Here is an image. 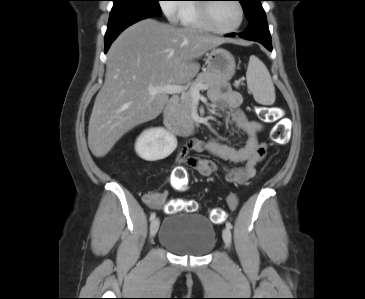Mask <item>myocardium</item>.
<instances>
[{
  "mask_svg": "<svg viewBox=\"0 0 365 299\" xmlns=\"http://www.w3.org/2000/svg\"><path fill=\"white\" fill-rule=\"evenodd\" d=\"M204 1H213V0H204ZM234 2L237 4V6L239 8L240 19L236 26H234L232 28H226V29L218 28L213 25V19H212V15H211V8L213 5L212 2H204L203 4L199 5L201 20L208 31H211V32L217 33V34H230V33L236 32L237 30H239L241 28V26L243 25L244 20H245V9H244L242 3L240 2V0H234Z\"/></svg>",
  "mask_w": 365,
  "mask_h": 299,
  "instance_id": "1",
  "label": "myocardium"
}]
</instances>
